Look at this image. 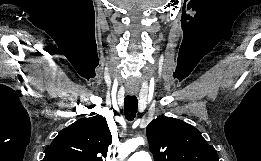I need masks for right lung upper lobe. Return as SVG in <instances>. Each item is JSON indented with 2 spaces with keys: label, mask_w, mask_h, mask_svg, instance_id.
I'll use <instances>...</instances> for the list:
<instances>
[{
  "label": "right lung upper lobe",
  "mask_w": 261,
  "mask_h": 161,
  "mask_svg": "<svg viewBox=\"0 0 261 161\" xmlns=\"http://www.w3.org/2000/svg\"><path fill=\"white\" fill-rule=\"evenodd\" d=\"M111 143L106 118L79 119L47 145L43 161H103Z\"/></svg>",
  "instance_id": "cb5924a9"
}]
</instances>
